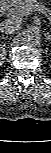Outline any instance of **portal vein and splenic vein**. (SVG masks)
Listing matches in <instances>:
<instances>
[{"instance_id": "18ae733b", "label": "portal vein and splenic vein", "mask_w": 51, "mask_h": 153, "mask_svg": "<svg viewBox=\"0 0 51 153\" xmlns=\"http://www.w3.org/2000/svg\"><path fill=\"white\" fill-rule=\"evenodd\" d=\"M41 9H43V7L41 8L40 6H34L33 8H26L25 11H24V15L27 16L29 15L31 12H34V11H40Z\"/></svg>"}]
</instances>
